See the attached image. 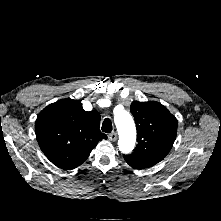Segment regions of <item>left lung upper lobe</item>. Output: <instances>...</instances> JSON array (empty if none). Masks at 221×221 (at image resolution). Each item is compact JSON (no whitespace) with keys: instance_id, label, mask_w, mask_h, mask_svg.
Listing matches in <instances>:
<instances>
[{"instance_id":"1","label":"left lung upper lobe","mask_w":221,"mask_h":221,"mask_svg":"<svg viewBox=\"0 0 221 221\" xmlns=\"http://www.w3.org/2000/svg\"><path fill=\"white\" fill-rule=\"evenodd\" d=\"M131 113L137 125V146L126 162L135 169H144L163 160L170 151L177 133V119L161 103L133 102Z\"/></svg>"}]
</instances>
